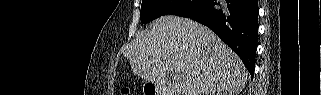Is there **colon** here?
<instances>
[{
  "label": "colon",
  "instance_id": "1",
  "mask_svg": "<svg viewBox=\"0 0 321 95\" xmlns=\"http://www.w3.org/2000/svg\"><path fill=\"white\" fill-rule=\"evenodd\" d=\"M123 93H124V94H128L129 92H128L127 89H124V90H123Z\"/></svg>",
  "mask_w": 321,
  "mask_h": 95
}]
</instances>
